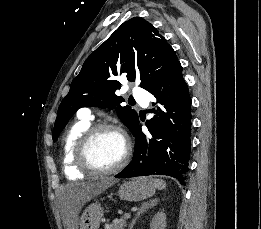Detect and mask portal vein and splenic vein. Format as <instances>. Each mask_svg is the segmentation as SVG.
Returning <instances> with one entry per match:
<instances>
[{
  "mask_svg": "<svg viewBox=\"0 0 261 229\" xmlns=\"http://www.w3.org/2000/svg\"><path fill=\"white\" fill-rule=\"evenodd\" d=\"M125 219H130V215L129 213H126V215H124Z\"/></svg>",
  "mask_w": 261,
  "mask_h": 229,
  "instance_id": "portal-vein-and-splenic-vein-1",
  "label": "portal vein and splenic vein"
}]
</instances>
